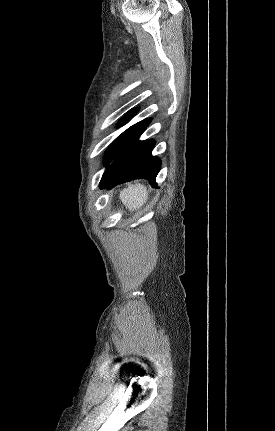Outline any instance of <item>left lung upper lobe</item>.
<instances>
[{
  "label": "left lung upper lobe",
  "mask_w": 275,
  "mask_h": 431,
  "mask_svg": "<svg viewBox=\"0 0 275 431\" xmlns=\"http://www.w3.org/2000/svg\"><path fill=\"white\" fill-rule=\"evenodd\" d=\"M131 114L127 115L125 118H123L120 121V125L126 124L130 118ZM150 122V119L143 120L141 122H138L131 127H129L127 130H125L123 133H121L108 147L107 151L104 155V160L106 167L110 166V162H113V160L116 158L118 153L129 143L131 142Z\"/></svg>",
  "instance_id": "left-lung-upper-lobe-1"
}]
</instances>
